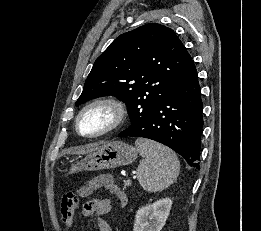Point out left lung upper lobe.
Instances as JSON below:
<instances>
[{"label":"left lung upper lobe","mask_w":261,"mask_h":231,"mask_svg":"<svg viewBox=\"0 0 261 231\" xmlns=\"http://www.w3.org/2000/svg\"><path fill=\"white\" fill-rule=\"evenodd\" d=\"M194 69L172 29L145 24L117 37L96 59L76 105L113 95L126 103L133 124L144 120Z\"/></svg>","instance_id":"left-lung-upper-lobe-1"}]
</instances>
